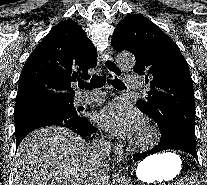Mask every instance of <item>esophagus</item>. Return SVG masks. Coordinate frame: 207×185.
<instances>
[{
    "label": "esophagus",
    "mask_w": 207,
    "mask_h": 185,
    "mask_svg": "<svg viewBox=\"0 0 207 185\" xmlns=\"http://www.w3.org/2000/svg\"><path fill=\"white\" fill-rule=\"evenodd\" d=\"M104 57H105L104 67L107 68L108 79L113 80L116 77H120L122 75L123 68L118 67L116 65V62H114L115 56H112V51L106 52ZM113 154H114L116 164H117V157H125L123 150L118 146L113 147Z\"/></svg>",
    "instance_id": "esophagus-1"
}]
</instances>
